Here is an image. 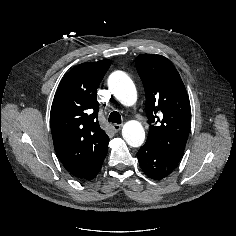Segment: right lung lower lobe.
<instances>
[{
	"mask_svg": "<svg viewBox=\"0 0 236 236\" xmlns=\"http://www.w3.org/2000/svg\"><path fill=\"white\" fill-rule=\"evenodd\" d=\"M102 163L95 170H93L90 174H88L84 179H89V180L93 179L97 175V173L99 172V170L102 166Z\"/></svg>",
	"mask_w": 236,
	"mask_h": 236,
	"instance_id": "right-lung-lower-lobe-1",
	"label": "right lung lower lobe"
}]
</instances>
